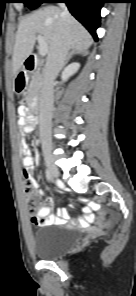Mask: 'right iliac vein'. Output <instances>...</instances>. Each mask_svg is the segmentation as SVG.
Returning a JSON list of instances; mask_svg holds the SVG:
<instances>
[{
	"instance_id": "obj_1",
	"label": "right iliac vein",
	"mask_w": 136,
	"mask_h": 296,
	"mask_svg": "<svg viewBox=\"0 0 136 296\" xmlns=\"http://www.w3.org/2000/svg\"><path fill=\"white\" fill-rule=\"evenodd\" d=\"M45 163H46V166H47L51 176L53 178H57L59 176V171H58V168L55 165V163L53 161V157L50 153L45 154Z\"/></svg>"
}]
</instances>
